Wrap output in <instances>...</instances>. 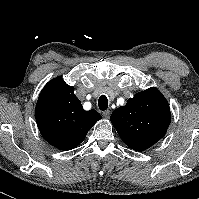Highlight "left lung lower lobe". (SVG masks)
I'll use <instances>...</instances> for the list:
<instances>
[{
  "instance_id": "obj_1",
  "label": "left lung lower lobe",
  "mask_w": 199,
  "mask_h": 199,
  "mask_svg": "<svg viewBox=\"0 0 199 199\" xmlns=\"http://www.w3.org/2000/svg\"><path fill=\"white\" fill-rule=\"evenodd\" d=\"M121 139L131 149L136 150V151H143V150L152 146L151 144H148V143H145V142H142V141H138V140H135V139H131V138L121 137Z\"/></svg>"
}]
</instances>
